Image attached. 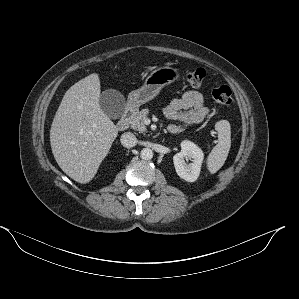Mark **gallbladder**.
<instances>
[{
	"instance_id": "bac80fb5",
	"label": "gallbladder",
	"mask_w": 299,
	"mask_h": 299,
	"mask_svg": "<svg viewBox=\"0 0 299 299\" xmlns=\"http://www.w3.org/2000/svg\"><path fill=\"white\" fill-rule=\"evenodd\" d=\"M125 98L121 92L106 89L100 94L99 105L103 112L111 119L120 118L125 111Z\"/></svg>"
}]
</instances>
